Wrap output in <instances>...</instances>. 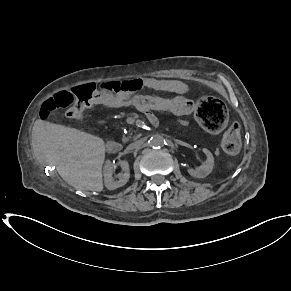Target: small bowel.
<instances>
[{
	"mask_svg": "<svg viewBox=\"0 0 291 291\" xmlns=\"http://www.w3.org/2000/svg\"><path fill=\"white\" fill-rule=\"evenodd\" d=\"M124 83L129 87V89L126 90L124 93L131 95L133 102L135 101V94L143 88L172 92V93H175L176 96H185V94L188 91L187 85L184 82H181L178 80H165V79H155V78H133V79L124 81ZM103 105L109 107L108 103H104ZM144 113L148 116V118L153 120L154 117H153L152 112H144Z\"/></svg>",
	"mask_w": 291,
	"mask_h": 291,
	"instance_id": "1",
	"label": "small bowel"
}]
</instances>
